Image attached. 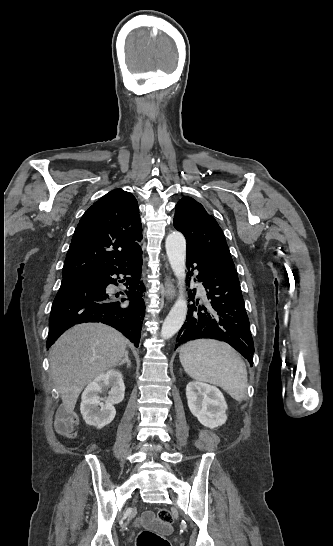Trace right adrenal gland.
Returning a JSON list of instances; mask_svg holds the SVG:
<instances>
[{
  "label": "right adrenal gland",
  "mask_w": 333,
  "mask_h": 546,
  "mask_svg": "<svg viewBox=\"0 0 333 546\" xmlns=\"http://www.w3.org/2000/svg\"><path fill=\"white\" fill-rule=\"evenodd\" d=\"M127 363L128 367H131V362L129 360L128 351L125 352L124 359L118 364V366H121L122 364Z\"/></svg>",
  "instance_id": "2a0ac1e0"
}]
</instances>
